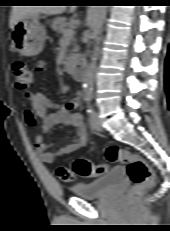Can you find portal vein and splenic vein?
Returning <instances> with one entry per match:
<instances>
[{
    "instance_id": "1",
    "label": "portal vein and splenic vein",
    "mask_w": 170,
    "mask_h": 231,
    "mask_svg": "<svg viewBox=\"0 0 170 231\" xmlns=\"http://www.w3.org/2000/svg\"><path fill=\"white\" fill-rule=\"evenodd\" d=\"M74 35V30L73 29H66L64 32V39H70Z\"/></svg>"
}]
</instances>
